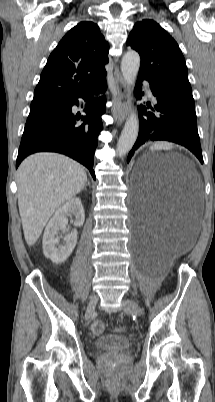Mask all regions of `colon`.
I'll return each instance as SVG.
<instances>
[{
    "instance_id": "obj_1",
    "label": "colon",
    "mask_w": 215,
    "mask_h": 402,
    "mask_svg": "<svg viewBox=\"0 0 215 402\" xmlns=\"http://www.w3.org/2000/svg\"><path fill=\"white\" fill-rule=\"evenodd\" d=\"M91 330L93 334L99 335L104 331V324L101 321H95L91 326Z\"/></svg>"
}]
</instances>
